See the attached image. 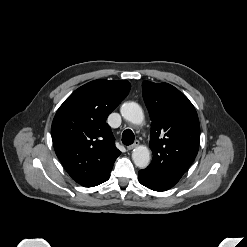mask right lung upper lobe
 I'll use <instances>...</instances> for the list:
<instances>
[{
  "label": "right lung upper lobe",
  "mask_w": 247,
  "mask_h": 247,
  "mask_svg": "<svg viewBox=\"0 0 247 247\" xmlns=\"http://www.w3.org/2000/svg\"><path fill=\"white\" fill-rule=\"evenodd\" d=\"M130 87L127 80L91 81L75 90L56 112L52 123L56 155L68 174L84 187L107 181L121 154L106 119Z\"/></svg>",
  "instance_id": "cb5924a9"
}]
</instances>
